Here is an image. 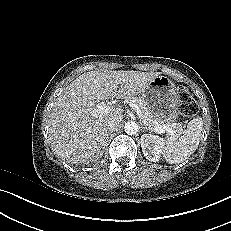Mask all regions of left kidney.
Returning <instances> with one entry per match:
<instances>
[{
    "label": "left kidney",
    "mask_w": 231,
    "mask_h": 231,
    "mask_svg": "<svg viewBox=\"0 0 231 231\" xmlns=\"http://www.w3.org/2000/svg\"><path fill=\"white\" fill-rule=\"evenodd\" d=\"M140 143L146 159L152 162H158L162 153L164 140L156 135L143 134Z\"/></svg>",
    "instance_id": "5707ae66"
}]
</instances>
